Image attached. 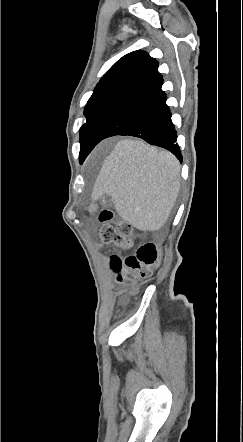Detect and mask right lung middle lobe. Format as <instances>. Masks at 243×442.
Masks as SVG:
<instances>
[{
  "mask_svg": "<svg viewBox=\"0 0 243 442\" xmlns=\"http://www.w3.org/2000/svg\"><path fill=\"white\" fill-rule=\"evenodd\" d=\"M124 97V95L112 94L88 100L84 108L86 122L80 128V157L85 153L91 136L99 123L106 116V114Z\"/></svg>",
  "mask_w": 243,
  "mask_h": 442,
  "instance_id": "right-lung-middle-lobe-1",
  "label": "right lung middle lobe"
}]
</instances>
